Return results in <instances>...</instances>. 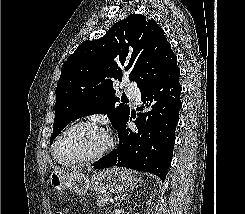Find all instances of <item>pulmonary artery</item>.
<instances>
[{"label": "pulmonary artery", "instance_id": "obj_1", "mask_svg": "<svg viewBox=\"0 0 245 214\" xmlns=\"http://www.w3.org/2000/svg\"><path fill=\"white\" fill-rule=\"evenodd\" d=\"M127 95L131 100L135 101L136 103L140 102L141 99L140 92L135 85L133 84L128 85Z\"/></svg>", "mask_w": 245, "mask_h": 214}]
</instances>
